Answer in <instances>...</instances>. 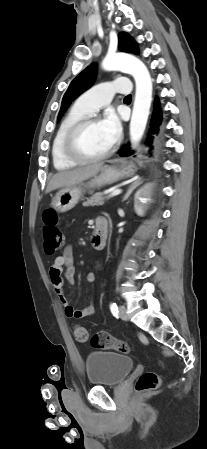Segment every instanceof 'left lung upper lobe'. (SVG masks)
Masks as SVG:
<instances>
[{
    "mask_svg": "<svg viewBox=\"0 0 207 449\" xmlns=\"http://www.w3.org/2000/svg\"><path fill=\"white\" fill-rule=\"evenodd\" d=\"M118 48L122 52L137 54V43L125 32L118 35ZM96 65L91 64L78 74L69 85L64 94L61 109L58 115V121L61 119L71 102L82 92L87 90L95 80Z\"/></svg>",
    "mask_w": 207,
    "mask_h": 449,
    "instance_id": "left-lung-upper-lobe-1",
    "label": "left lung upper lobe"
}]
</instances>
